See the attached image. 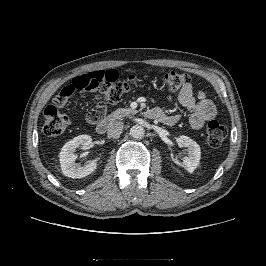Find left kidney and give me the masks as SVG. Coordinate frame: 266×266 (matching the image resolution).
Listing matches in <instances>:
<instances>
[{
  "instance_id": "5707ae66",
  "label": "left kidney",
  "mask_w": 266,
  "mask_h": 266,
  "mask_svg": "<svg viewBox=\"0 0 266 266\" xmlns=\"http://www.w3.org/2000/svg\"><path fill=\"white\" fill-rule=\"evenodd\" d=\"M178 142L183 147L188 148V156L184 157L181 163L177 162V164L184 167L189 173H193L200 162V146L194 140L184 135L179 137Z\"/></svg>"
}]
</instances>
